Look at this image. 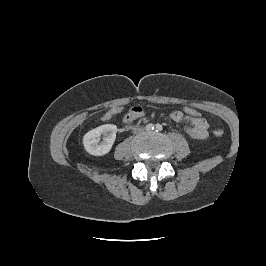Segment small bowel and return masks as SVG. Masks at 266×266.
<instances>
[{"mask_svg":"<svg viewBox=\"0 0 266 266\" xmlns=\"http://www.w3.org/2000/svg\"><path fill=\"white\" fill-rule=\"evenodd\" d=\"M115 113V110H111L106 113L104 119H110ZM144 115V109L140 106L132 107L129 110L128 121L138 119ZM171 119L176 122H183L186 124L184 130L186 134L193 139H205L208 136V122L204 118H191L184 115L181 111L175 110L170 113Z\"/></svg>","mask_w":266,"mask_h":266,"instance_id":"c3829d8e","label":"small bowel"}]
</instances>
